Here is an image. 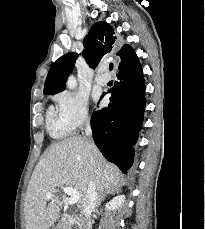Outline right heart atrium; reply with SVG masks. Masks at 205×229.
<instances>
[{
    "label": "right heart atrium",
    "instance_id": "right-heart-atrium-1",
    "mask_svg": "<svg viewBox=\"0 0 205 229\" xmlns=\"http://www.w3.org/2000/svg\"><path fill=\"white\" fill-rule=\"evenodd\" d=\"M59 116L71 131H77L91 122L87 100L74 93L63 91L54 97Z\"/></svg>",
    "mask_w": 205,
    "mask_h": 229
}]
</instances>
